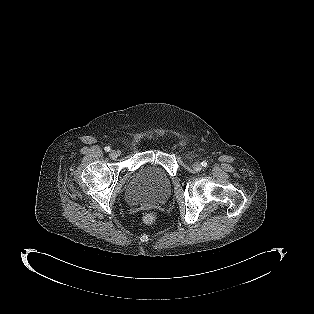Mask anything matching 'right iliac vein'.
<instances>
[{
	"mask_svg": "<svg viewBox=\"0 0 314 314\" xmlns=\"http://www.w3.org/2000/svg\"><path fill=\"white\" fill-rule=\"evenodd\" d=\"M111 159H116L118 157V153L115 150H112L109 154Z\"/></svg>",
	"mask_w": 314,
	"mask_h": 314,
	"instance_id": "right-iliac-vein-1",
	"label": "right iliac vein"
}]
</instances>
